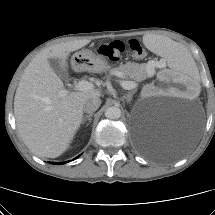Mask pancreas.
Returning a JSON list of instances; mask_svg holds the SVG:
<instances>
[{
	"instance_id": "obj_1",
	"label": "pancreas",
	"mask_w": 215,
	"mask_h": 215,
	"mask_svg": "<svg viewBox=\"0 0 215 215\" xmlns=\"http://www.w3.org/2000/svg\"><path fill=\"white\" fill-rule=\"evenodd\" d=\"M140 70L143 71L145 67L141 65ZM110 73L112 75H115L117 73H121L123 78L126 80H135V81H141L145 79V77H140L137 75L136 70L133 68V66L130 63L120 65L117 68H113L110 70Z\"/></svg>"
}]
</instances>
